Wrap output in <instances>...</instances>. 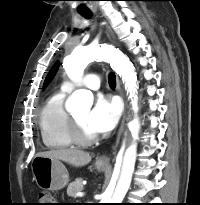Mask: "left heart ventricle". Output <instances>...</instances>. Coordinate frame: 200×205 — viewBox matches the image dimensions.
Listing matches in <instances>:
<instances>
[{"label": "left heart ventricle", "instance_id": "b2bd125f", "mask_svg": "<svg viewBox=\"0 0 200 205\" xmlns=\"http://www.w3.org/2000/svg\"><path fill=\"white\" fill-rule=\"evenodd\" d=\"M89 114V110L88 109H83L80 110L78 112H76L73 117L76 119V121L79 123L82 132L86 135V136H94L96 135L87 125V117Z\"/></svg>", "mask_w": 200, "mask_h": 205}]
</instances>
